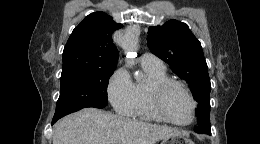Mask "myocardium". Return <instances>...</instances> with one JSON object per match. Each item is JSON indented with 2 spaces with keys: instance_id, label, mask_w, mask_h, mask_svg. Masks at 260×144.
Listing matches in <instances>:
<instances>
[{
  "instance_id": "1",
  "label": "myocardium",
  "mask_w": 260,
  "mask_h": 144,
  "mask_svg": "<svg viewBox=\"0 0 260 144\" xmlns=\"http://www.w3.org/2000/svg\"><path fill=\"white\" fill-rule=\"evenodd\" d=\"M180 88L182 89L188 98L191 101L192 104V114L191 118L187 122H177L173 119H171L167 113L164 110L163 102L164 98L167 95V93L173 89V88ZM149 104L150 107L152 108L153 112L155 115L162 121L170 123L175 126H180V127H185L193 123L195 116H196V109H197V102L190 91V89L182 82L173 80V79H168L165 81H160L154 83L149 91Z\"/></svg>"
}]
</instances>
